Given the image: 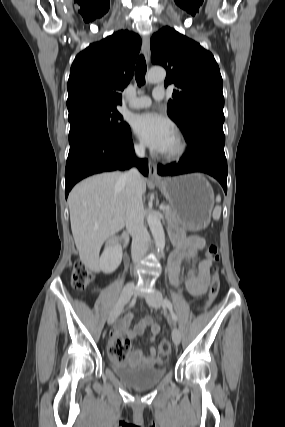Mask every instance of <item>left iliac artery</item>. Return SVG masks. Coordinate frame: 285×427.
<instances>
[{"label": "left iliac artery", "mask_w": 285, "mask_h": 427, "mask_svg": "<svg viewBox=\"0 0 285 427\" xmlns=\"http://www.w3.org/2000/svg\"><path fill=\"white\" fill-rule=\"evenodd\" d=\"M163 304H164L165 307H167L169 309L172 320L174 322H177L178 317L175 314V312L173 311V305H172L171 301L169 299L165 298L164 301H163Z\"/></svg>", "instance_id": "44dca946"}]
</instances>
